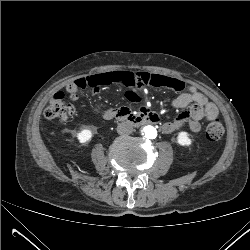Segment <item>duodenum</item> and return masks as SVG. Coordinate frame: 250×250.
Masks as SVG:
<instances>
[{
	"label": "duodenum",
	"mask_w": 250,
	"mask_h": 250,
	"mask_svg": "<svg viewBox=\"0 0 250 250\" xmlns=\"http://www.w3.org/2000/svg\"><path fill=\"white\" fill-rule=\"evenodd\" d=\"M127 116L129 120L136 124H156L158 122L157 115L152 112H145L142 116H132L129 112L125 111L124 109H114L109 108L103 113V119L104 120H112L114 118H118L121 116Z\"/></svg>",
	"instance_id": "1"
}]
</instances>
